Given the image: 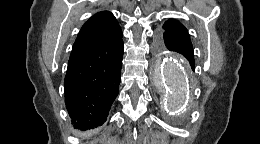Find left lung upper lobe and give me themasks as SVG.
<instances>
[{
	"label": "left lung upper lobe",
	"instance_id": "5c2ea615",
	"mask_svg": "<svg viewBox=\"0 0 260 144\" xmlns=\"http://www.w3.org/2000/svg\"><path fill=\"white\" fill-rule=\"evenodd\" d=\"M163 31L189 36L187 29L175 19H169L168 21H166L165 24L163 25ZM160 45L161 47H166L165 44L163 43H160Z\"/></svg>",
	"mask_w": 260,
	"mask_h": 144
}]
</instances>
